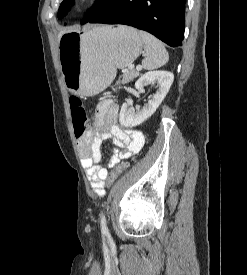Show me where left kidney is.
Here are the masks:
<instances>
[{
	"label": "left kidney",
	"instance_id": "left-kidney-1",
	"mask_svg": "<svg viewBox=\"0 0 247 275\" xmlns=\"http://www.w3.org/2000/svg\"><path fill=\"white\" fill-rule=\"evenodd\" d=\"M173 80V73L162 70L149 71L142 75L135 83V88L137 90L142 89L148 84L155 83H157L158 89L152 99H150L144 107L139 108L136 112L132 107V100L127 99V101L123 103L119 114V122L121 126L135 127L151 117L167 95Z\"/></svg>",
	"mask_w": 247,
	"mask_h": 275
}]
</instances>
